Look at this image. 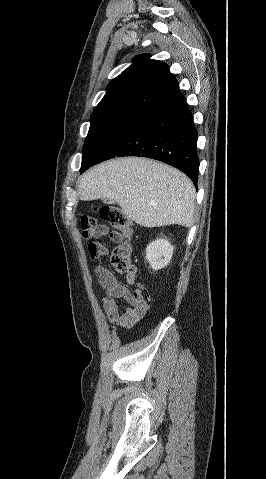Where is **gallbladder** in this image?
<instances>
[{
  "label": "gallbladder",
  "instance_id": "obj_1",
  "mask_svg": "<svg viewBox=\"0 0 266 479\" xmlns=\"http://www.w3.org/2000/svg\"><path fill=\"white\" fill-rule=\"evenodd\" d=\"M102 201H103V203H105V204H113V203H114V201H112V200H110V199H108V198H104V199H102Z\"/></svg>",
  "mask_w": 266,
  "mask_h": 479
}]
</instances>
